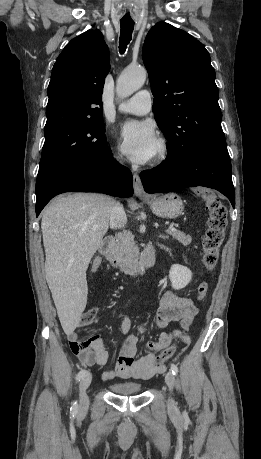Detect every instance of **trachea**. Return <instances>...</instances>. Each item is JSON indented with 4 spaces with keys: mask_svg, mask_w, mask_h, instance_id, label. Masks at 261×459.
I'll return each instance as SVG.
<instances>
[{
    "mask_svg": "<svg viewBox=\"0 0 261 459\" xmlns=\"http://www.w3.org/2000/svg\"><path fill=\"white\" fill-rule=\"evenodd\" d=\"M121 32L119 41V52L123 54L126 51L127 45L130 43L132 38V32L134 29V21L132 20H121L120 21Z\"/></svg>",
    "mask_w": 261,
    "mask_h": 459,
    "instance_id": "3493384b",
    "label": "trachea"
}]
</instances>
